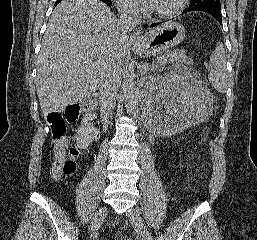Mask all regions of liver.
I'll use <instances>...</instances> for the list:
<instances>
[{"label":"liver","instance_id":"obj_1","mask_svg":"<svg viewBox=\"0 0 257 240\" xmlns=\"http://www.w3.org/2000/svg\"><path fill=\"white\" fill-rule=\"evenodd\" d=\"M101 0H63L54 9L38 57L36 90L44 115L90 96L114 68L120 72L129 38Z\"/></svg>","mask_w":257,"mask_h":240}]
</instances>
